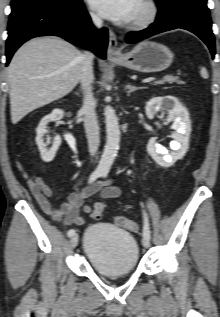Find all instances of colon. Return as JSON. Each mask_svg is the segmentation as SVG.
I'll list each match as a JSON object with an SVG mask.
<instances>
[{
    "label": "colon",
    "instance_id": "5ec220e1",
    "mask_svg": "<svg viewBox=\"0 0 220 317\" xmlns=\"http://www.w3.org/2000/svg\"><path fill=\"white\" fill-rule=\"evenodd\" d=\"M104 210V207L103 206H98L92 213V217L95 219V220H98L101 218V215H102V212ZM115 220V223L120 226V227H123V228H126L128 230H132V231H135L137 230L138 226L136 224V222H134L133 220L129 219L128 217H125V216H116L114 218Z\"/></svg>",
    "mask_w": 220,
    "mask_h": 317
}]
</instances>
